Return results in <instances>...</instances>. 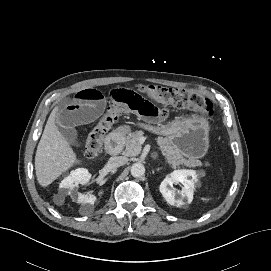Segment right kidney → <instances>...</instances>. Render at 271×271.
Listing matches in <instances>:
<instances>
[{"label": "right kidney", "mask_w": 271, "mask_h": 271, "mask_svg": "<svg viewBox=\"0 0 271 271\" xmlns=\"http://www.w3.org/2000/svg\"><path fill=\"white\" fill-rule=\"evenodd\" d=\"M91 178V174L85 168H78L70 172V175L65 177L60 185L59 190L68 194L75 200L77 203L82 204H91L94 205L96 202V197L91 194H82L74 191V188L80 184H86Z\"/></svg>", "instance_id": "1"}]
</instances>
